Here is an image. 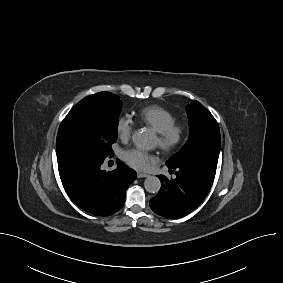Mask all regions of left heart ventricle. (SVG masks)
<instances>
[{"mask_svg":"<svg viewBox=\"0 0 283 283\" xmlns=\"http://www.w3.org/2000/svg\"><path fill=\"white\" fill-rule=\"evenodd\" d=\"M156 143L158 144V137H156Z\"/></svg>","mask_w":283,"mask_h":283,"instance_id":"obj_1","label":"left heart ventricle"}]
</instances>
